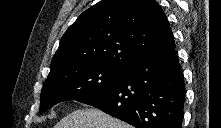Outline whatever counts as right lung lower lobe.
I'll return each mask as SVG.
<instances>
[{
  "instance_id": "98d812e1",
  "label": "right lung lower lobe",
  "mask_w": 221,
  "mask_h": 128,
  "mask_svg": "<svg viewBox=\"0 0 221 128\" xmlns=\"http://www.w3.org/2000/svg\"><path fill=\"white\" fill-rule=\"evenodd\" d=\"M185 94L183 71L173 48L137 61L116 83L79 102L135 128H181Z\"/></svg>"
}]
</instances>
